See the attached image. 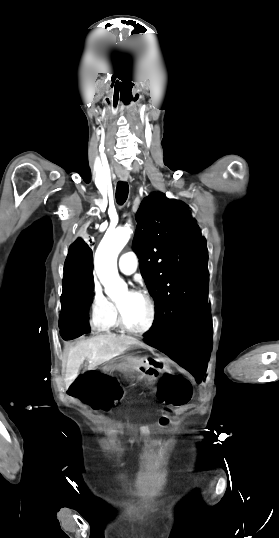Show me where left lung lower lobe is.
<instances>
[{
    "label": "left lung lower lobe",
    "instance_id": "obj_1",
    "mask_svg": "<svg viewBox=\"0 0 279 538\" xmlns=\"http://www.w3.org/2000/svg\"><path fill=\"white\" fill-rule=\"evenodd\" d=\"M212 340V319L208 301L200 303L171 332L162 335L144 334V341L192 373L201 381L209 359Z\"/></svg>",
    "mask_w": 279,
    "mask_h": 538
}]
</instances>
